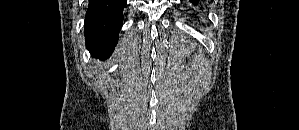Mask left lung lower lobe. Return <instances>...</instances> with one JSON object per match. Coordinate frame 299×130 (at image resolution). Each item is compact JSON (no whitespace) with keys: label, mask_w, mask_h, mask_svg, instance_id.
<instances>
[{"label":"left lung lower lobe","mask_w":299,"mask_h":130,"mask_svg":"<svg viewBox=\"0 0 299 130\" xmlns=\"http://www.w3.org/2000/svg\"><path fill=\"white\" fill-rule=\"evenodd\" d=\"M192 3H193L194 5H196V4L198 3V1H197V0H192Z\"/></svg>","instance_id":"obj_1"}]
</instances>
